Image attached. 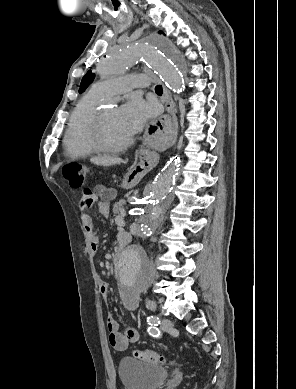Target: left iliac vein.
Returning a JSON list of instances; mask_svg holds the SVG:
<instances>
[{"mask_svg": "<svg viewBox=\"0 0 296 389\" xmlns=\"http://www.w3.org/2000/svg\"><path fill=\"white\" fill-rule=\"evenodd\" d=\"M160 326L163 330H168L169 328H171L172 322L167 318H162Z\"/></svg>", "mask_w": 296, "mask_h": 389, "instance_id": "4c4485c4", "label": "left iliac vein"}]
</instances>
